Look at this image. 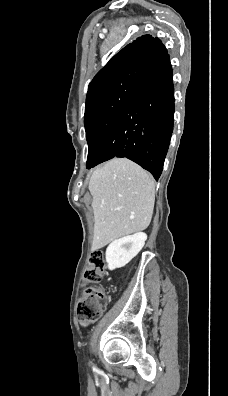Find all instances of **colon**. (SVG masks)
<instances>
[{"instance_id":"colon-1","label":"colon","mask_w":228,"mask_h":396,"mask_svg":"<svg viewBox=\"0 0 228 396\" xmlns=\"http://www.w3.org/2000/svg\"><path fill=\"white\" fill-rule=\"evenodd\" d=\"M105 271L104 255L100 251L91 253L88 263L83 271L84 284H97L102 279ZM107 303V297L103 289L97 286L89 287L81 297L77 316L81 324L88 325L95 322L101 315Z\"/></svg>"}]
</instances>
